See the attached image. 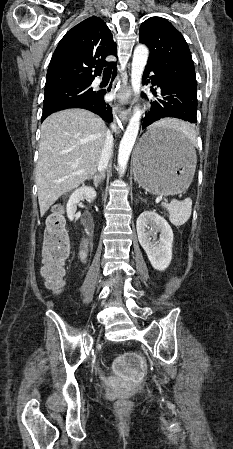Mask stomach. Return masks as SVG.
Instances as JSON below:
<instances>
[{
    "label": "stomach",
    "instance_id": "stomach-1",
    "mask_svg": "<svg viewBox=\"0 0 233 449\" xmlns=\"http://www.w3.org/2000/svg\"><path fill=\"white\" fill-rule=\"evenodd\" d=\"M196 152L185 133L155 123L146 128L133 155V172L138 183L155 195L185 190L192 178Z\"/></svg>",
    "mask_w": 233,
    "mask_h": 449
}]
</instances>
